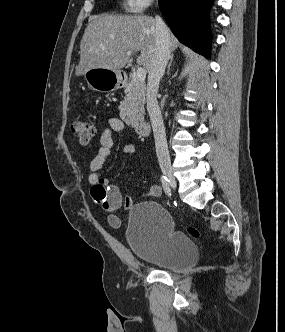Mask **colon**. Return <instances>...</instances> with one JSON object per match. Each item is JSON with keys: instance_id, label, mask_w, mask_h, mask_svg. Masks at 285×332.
<instances>
[{"instance_id": "5ec220e1", "label": "colon", "mask_w": 285, "mask_h": 332, "mask_svg": "<svg viewBox=\"0 0 285 332\" xmlns=\"http://www.w3.org/2000/svg\"><path fill=\"white\" fill-rule=\"evenodd\" d=\"M73 134L79 139L80 143L90 145L96 137V128L87 121L75 120L71 124ZM188 232L193 237H198L199 232L194 227H189Z\"/></svg>"}]
</instances>
